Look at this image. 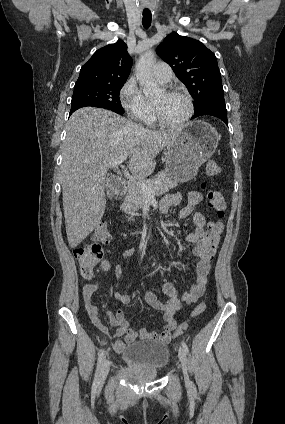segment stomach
<instances>
[{"label": "stomach", "instance_id": "1", "mask_svg": "<svg viewBox=\"0 0 285 424\" xmlns=\"http://www.w3.org/2000/svg\"><path fill=\"white\" fill-rule=\"evenodd\" d=\"M218 141V133L210 124L201 120L188 123L167 146L165 171L177 183L191 180L213 155Z\"/></svg>", "mask_w": 285, "mask_h": 424}]
</instances>
